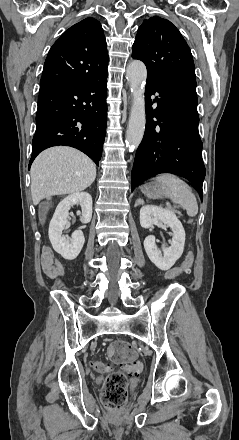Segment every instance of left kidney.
I'll list each match as a JSON object with an SVG mask.
<instances>
[{
  "mask_svg": "<svg viewBox=\"0 0 239 440\" xmlns=\"http://www.w3.org/2000/svg\"><path fill=\"white\" fill-rule=\"evenodd\" d=\"M160 222L164 226H169L173 232L171 246L169 248L162 246L161 250H159L155 244V236H147L144 240V248L149 260L159 270L166 272V270H170L174 266L176 260H179L183 254L185 230L174 212L158 208V206H143L141 208L140 224L142 228H152L154 224H160Z\"/></svg>",
  "mask_w": 239,
  "mask_h": 440,
  "instance_id": "1",
  "label": "left kidney"
}]
</instances>
